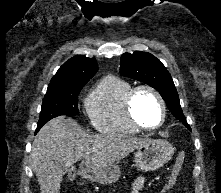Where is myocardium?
<instances>
[{"label": "myocardium", "mask_w": 221, "mask_h": 193, "mask_svg": "<svg viewBox=\"0 0 221 193\" xmlns=\"http://www.w3.org/2000/svg\"><path fill=\"white\" fill-rule=\"evenodd\" d=\"M141 91H148V92L152 93L157 98V100L161 106V119H160V122L154 127L144 126L141 123H139L136 120V118L134 117V114H133L134 100H135L137 94ZM124 105H125V112H126L128 120L130 121V123L134 127H136L139 130L146 131V132L156 131V130L160 129L166 121V117H167L166 102H165L164 98L162 97V95L160 94V92L150 85L143 84V85H138L136 87H133L129 91V93L127 94Z\"/></svg>", "instance_id": "obj_1"}]
</instances>
